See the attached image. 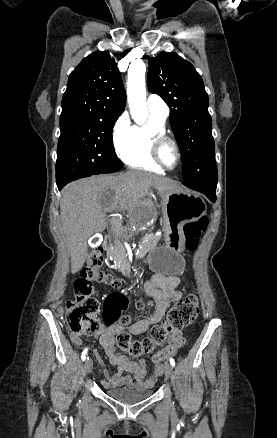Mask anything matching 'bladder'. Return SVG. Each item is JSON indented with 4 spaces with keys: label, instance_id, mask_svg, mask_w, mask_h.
I'll return each instance as SVG.
<instances>
[{
    "label": "bladder",
    "instance_id": "1",
    "mask_svg": "<svg viewBox=\"0 0 277 438\" xmlns=\"http://www.w3.org/2000/svg\"><path fill=\"white\" fill-rule=\"evenodd\" d=\"M151 394V389H133L126 387H112L106 391V395L109 398L122 404H136L142 402Z\"/></svg>",
    "mask_w": 277,
    "mask_h": 438
}]
</instances>
